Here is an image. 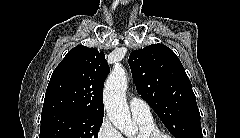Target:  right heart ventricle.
<instances>
[{"label": "right heart ventricle", "mask_w": 240, "mask_h": 138, "mask_svg": "<svg viewBox=\"0 0 240 138\" xmlns=\"http://www.w3.org/2000/svg\"><path fill=\"white\" fill-rule=\"evenodd\" d=\"M134 119L138 124L139 133L145 132L147 130L157 129L152 117L151 118L134 117ZM134 138H138V137H134Z\"/></svg>", "instance_id": "right-heart-ventricle-1"}]
</instances>
